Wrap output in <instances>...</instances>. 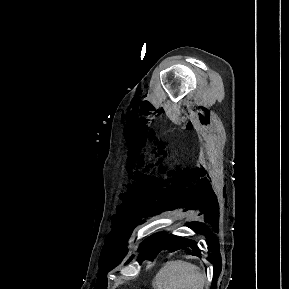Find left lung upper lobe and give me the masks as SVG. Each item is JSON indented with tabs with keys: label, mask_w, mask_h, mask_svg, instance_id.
<instances>
[{
	"label": "left lung upper lobe",
	"mask_w": 289,
	"mask_h": 289,
	"mask_svg": "<svg viewBox=\"0 0 289 289\" xmlns=\"http://www.w3.org/2000/svg\"><path fill=\"white\" fill-rule=\"evenodd\" d=\"M162 233H157L146 239L143 244L146 245L144 250L139 255L138 261L141 262L144 259L153 260L157 254L164 249V243L162 242Z\"/></svg>",
	"instance_id": "1"
}]
</instances>
